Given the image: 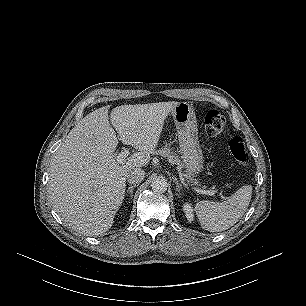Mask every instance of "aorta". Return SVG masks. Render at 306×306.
<instances>
[{"label": "aorta", "mask_w": 306, "mask_h": 306, "mask_svg": "<svg viewBox=\"0 0 306 306\" xmlns=\"http://www.w3.org/2000/svg\"><path fill=\"white\" fill-rule=\"evenodd\" d=\"M151 187L155 192L164 193L167 190L168 183L163 176H158L152 180Z\"/></svg>", "instance_id": "762f6f07"}]
</instances>
